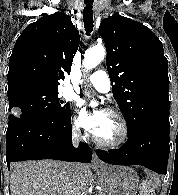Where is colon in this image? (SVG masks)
<instances>
[{
  "instance_id": "1",
  "label": "colon",
  "mask_w": 178,
  "mask_h": 195,
  "mask_svg": "<svg viewBox=\"0 0 178 195\" xmlns=\"http://www.w3.org/2000/svg\"><path fill=\"white\" fill-rule=\"evenodd\" d=\"M140 195H154L152 188L148 185H144L141 189Z\"/></svg>"
}]
</instances>
